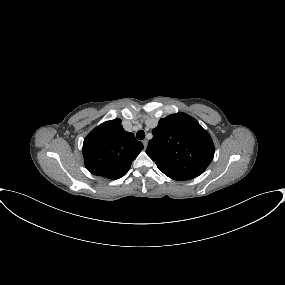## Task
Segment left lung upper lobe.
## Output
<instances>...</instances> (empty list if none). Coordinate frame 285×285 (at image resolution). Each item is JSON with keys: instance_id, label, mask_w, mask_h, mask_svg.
I'll return each instance as SVG.
<instances>
[{"instance_id": "5c2ea615", "label": "left lung upper lobe", "mask_w": 285, "mask_h": 285, "mask_svg": "<svg viewBox=\"0 0 285 285\" xmlns=\"http://www.w3.org/2000/svg\"><path fill=\"white\" fill-rule=\"evenodd\" d=\"M146 153L158 169L182 181L202 174L214 156V144L206 130L191 116L177 113L160 119L152 130Z\"/></svg>"}]
</instances>
